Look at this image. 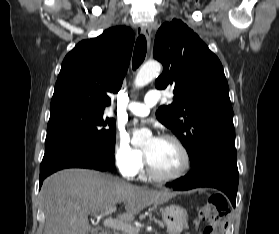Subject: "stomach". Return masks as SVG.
Segmentation results:
<instances>
[{
  "mask_svg": "<svg viewBox=\"0 0 279 234\" xmlns=\"http://www.w3.org/2000/svg\"><path fill=\"white\" fill-rule=\"evenodd\" d=\"M162 219L170 234H180L188 222L187 211L178 205H169L161 209Z\"/></svg>",
  "mask_w": 279,
  "mask_h": 234,
  "instance_id": "stomach-1",
  "label": "stomach"
}]
</instances>
